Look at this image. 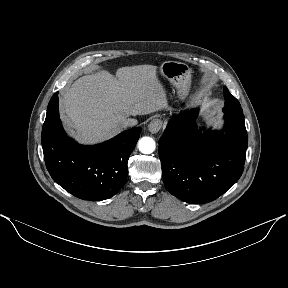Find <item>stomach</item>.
Wrapping results in <instances>:
<instances>
[{
	"instance_id": "0dacf381",
	"label": "stomach",
	"mask_w": 288,
	"mask_h": 288,
	"mask_svg": "<svg viewBox=\"0 0 288 288\" xmlns=\"http://www.w3.org/2000/svg\"><path fill=\"white\" fill-rule=\"evenodd\" d=\"M161 74L177 89L178 97L184 100L191 88V71L187 64L167 61L160 66Z\"/></svg>"
}]
</instances>
